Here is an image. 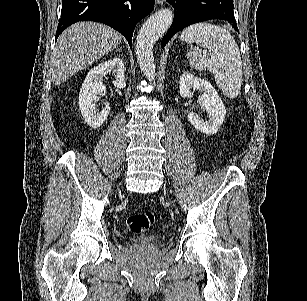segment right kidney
Instances as JSON below:
<instances>
[{
	"instance_id": "ca27d5eb",
	"label": "right kidney",
	"mask_w": 307,
	"mask_h": 301,
	"mask_svg": "<svg viewBox=\"0 0 307 301\" xmlns=\"http://www.w3.org/2000/svg\"><path fill=\"white\" fill-rule=\"evenodd\" d=\"M107 74H113L116 88H125V66L122 58H109V60H103L97 66H93L82 82L79 92V110L91 128H99L111 110L109 102H104L101 110H96V94L105 90L102 78Z\"/></svg>"
}]
</instances>
